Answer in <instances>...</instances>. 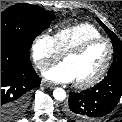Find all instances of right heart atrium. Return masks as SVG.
I'll return each instance as SVG.
<instances>
[{"instance_id": "1", "label": "right heart atrium", "mask_w": 122, "mask_h": 122, "mask_svg": "<svg viewBox=\"0 0 122 122\" xmlns=\"http://www.w3.org/2000/svg\"><path fill=\"white\" fill-rule=\"evenodd\" d=\"M54 37L47 33L38 35L32 45V59L39 70H44L60 58Z\"/></svg>"}]
</instances>
